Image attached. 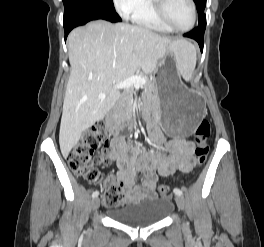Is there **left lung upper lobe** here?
Segmentation results:
<instances>
[{"label":"left lung upper lobe","mask_w":264,"mask_h":247,"mask_svg":"<svg viewBox=\"0 0 264 247\" xmlns=\"http://www.w3.org/2000/svg\"><path fill=\"white\" fill-rule=\"evenodd\" d=\"M198 10V26H206V15L204 14V9L206 7V0H194Z\"/></svg>","instance_id":"5c2ea615"}]
</instances>
